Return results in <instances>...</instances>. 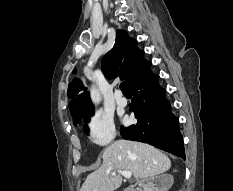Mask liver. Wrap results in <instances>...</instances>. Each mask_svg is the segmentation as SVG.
<instances>
[{"instance_id":"liver-1","label":"liver","mask_w":233,"mask_h":191,"mask_svg":"<svg viewBox=\"0 0 233 191\" xmlns=\"http://www.w3.org/2000/svg\"><path fill=\"white\" fill-rule=\"evenodd\" d=\"M102 165L90 173L80 191H114L122 184L118 170L146 179L170 169L171 160L158 149L141 142L117 140L104 149Z\"/></svg>"}]
</instances>
